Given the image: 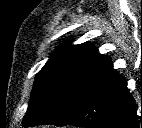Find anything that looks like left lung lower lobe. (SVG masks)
<instances>
[{
  "label": "left lung lower lobe",
  "instance_id": "obj_1",
  "mask_svg": "<svg viewBox=\"0 0 142 128\" xmlns=\"http://www.w3.org/2000/svg\"><path fill=\"white\" fill-rule=\"evenodd\" d=\"M137 117L135 100L127 90L125 79L110 64L81 92L65 118L48 125L138 128ZM140 119L142 127V110Z\"/></svg>",
  "mask_w": 142,
  "mask_h": 128
}]
</instances>
